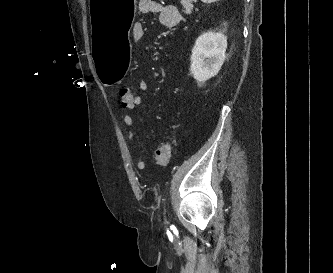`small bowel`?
<instances>
[{
  "mask_svg": "<svg viewBox=\"0 0 333 273\" xmlns=\"http://www.w3.org/2000/svg\"><path fill=\"white\" fill-rule=\"evenodd\" d=\"M138 11L141 14H155L158 16V20L161 26L166 28H173L179 26L183 21V15L180 10L173 5H162L156 0H139ZM145 36V27L142 22L134 23L132 27V38L134 42L139 43ZM148 83L145 80H141L139 83V90L141 93L148 91ZM127 94H134L129 90ZM135 95V108L142 105L143 97L141 95ZM134 108V109H135ZM134 109H125L123 115V122L126 127L127 137L129 140L134 138V124L135 120L131 115V111ZM137 170L142 171L146 168V164L143 160L137 159L135 162Z\"/></svg>",
  "mask_w": 333,
  "mask_h": 273,
  "instance_id": "c3829d8e",
  "label": "small bowel"
}]
</instances>
